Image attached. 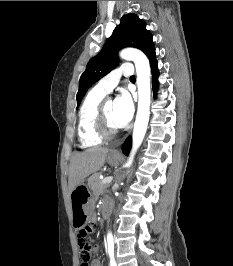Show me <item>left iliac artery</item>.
<instances>
[{
    "label": "left iliac artery",
    "mask_w": 233,
    "mask_h": 266,
    "mask_svg": "<svg viewBox=\"0 0 233 266\" xmlns=\"http://www.w3.org/2000/svg\"><path fill=\"white\" fill-rule=\"evenodd\" d=\"M108 243V253L110 257V266H117L115 258H114V240L112 236L107 238Z\"/></svg>",
    "instance_id": "obj_1"
}]
</instances>
